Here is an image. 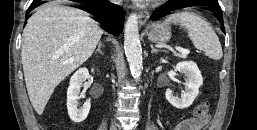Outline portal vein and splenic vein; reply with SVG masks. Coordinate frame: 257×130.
<instances>
[{"label":"portal vein and splenic vein","mask_w":257,"mask_h":130,"mask_svg":"<svg viewBox=\"0 0 257 130\" xmlns=\"http://www.w3.org/2000/svg\"><path fill=\"white\" fill-rule=\"evenodd\" d=\"M176 50H178L180 53L185 54V55L189 54V52H190L187 49H182V48H179V47H176Z\"/></svg>","instance_id":"1"}]
</instances>
